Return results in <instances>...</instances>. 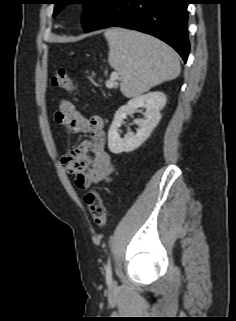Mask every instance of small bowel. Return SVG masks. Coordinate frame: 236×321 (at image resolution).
I'll list each match as a JSON object with an SVG mask.
<instances>
[{
	"label": "small bowel",
	"instance_id": "small-bowel-1",
	"mask_svg": "<svg viewBox=\"0 0 236 321\" xmlns=\"http://www.w3.org/2000/svg\"><path fill=\"white\" fill-rule=\"evenodd\" d=\"M54 121L71 133L90 135L88 140L81 141L62 157V164L74 175L77 188L84 190L90 185L110 181L115 168L105 148L106 132L102 117H86L74 103L62 100L54 112Z\"/></svg>",
	"mask_w": 236,
	"mask_h": 321
}]
</instances>
